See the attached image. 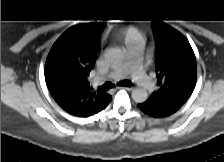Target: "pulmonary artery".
Wrapping results in <instances>:
<instances>
[{
  "mask_svg": "<svg viewBox=\"0 0 224 162\" xmlns=\"http://www.w3.org/2000/svg\"><path fill=\"white\" fill-rule=\"evenodd\" d=\"M142 52L143 42L141 40L131 43L125 63L121 67L111 70L105 79L119 81L130 77L142 88L147 90L153 89L155 83L144 71Z\"/></svg>",
  "mask_w": 224,
  "mask_h": 162,
  "instance_id": "e3ab8cb5",
  "label": "pulmonary artery"
}]
</instances>
